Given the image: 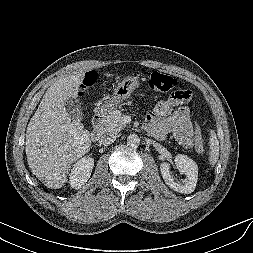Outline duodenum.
<instances>
[{"label":"duodenum","instance_id":"410a0bca","mask_svg":"<svg viewBox=\"0 0 253 253\" xmlns=\"http://www.w3.org/2000/svg\"><path fill=\"white\" fill-rule=\"evenodd\" d=\"M104 121H105V115L103 112L98 111L92 120V133H91V139L93 141H96L99 136L102 134V130L104 127Z\"/></svg>","mask_w":253,"mask_h":253}]
</instances>
